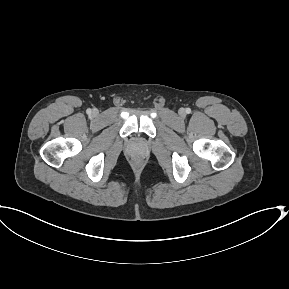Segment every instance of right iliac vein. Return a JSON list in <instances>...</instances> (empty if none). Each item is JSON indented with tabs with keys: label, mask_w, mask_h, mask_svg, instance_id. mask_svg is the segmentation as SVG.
<instances>
[{
	"label": "right iliac vein",
	"mask_w": 289,
	"mask_h": 289,
	"mask_svg": "<svg viewBox=\"0 0 289 289\" xmlns=\"http://www.w3.org/2000/svg\"><path fill=\"white\" fill-rule=\"evenodd\" d=\"M92 113H93L94 116H96V115H98V110L94 109Z\"/></svg>",
	"instance_id": "right-iliac-vein-1"
}]
</instances>
